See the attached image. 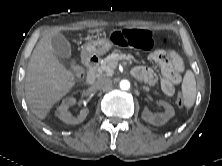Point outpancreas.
<instances>
[{
  "mask_svg": "<svg viewBox=\"0 0 222 166\" xmlns=\"http://www.w3.org/2000/svg\"><path fill=\"white\" fill-rule=\"evenodd\" d=\"M119 60H127L128 62H138V60L131 54H118L112 53L102 60L100 65V71L104 76H112L114 74V69L118 65Z\"/></svg>",
  "mask_w": 222,
  "mask_h": 166,
  "instance_id": "1",
  "label": "pancreas"
}]
</instances>
